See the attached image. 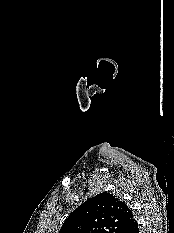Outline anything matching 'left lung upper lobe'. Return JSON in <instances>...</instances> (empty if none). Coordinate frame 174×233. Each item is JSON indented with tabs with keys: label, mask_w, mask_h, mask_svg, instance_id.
Listing matches in <instances>:
<instances>
[{
	"label": "left lung upper lobe",
	"mask_w": 174,
	"mask_h": 233,
	"mask_svg": "<svg viewBox=\"0 0 174 233\" xmlns=\"http://www.w3.org/2000/svg\"><path fill=\"white\" fill-rule=\"evenodd\" d=\"M134 219L126 203L103 192L75 209L59 233H121Z\"/></svg>",
	"instance_id": "5c2ea615"
}]
</instances>
